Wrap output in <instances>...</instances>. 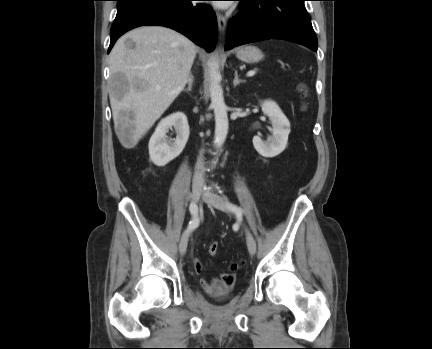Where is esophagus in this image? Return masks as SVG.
<instances>
[{
	"label": "esophagus",
	"mask_w": 432,
	"mask_h": 349,
	"mask_svg": "<svg viewBox=\"0 0 432 349\" xmlns=\"http://www.w3.org/2000/svg\"><path fill=\"white\" fill-rule=\"evenodd\" d=\"M216 16H217L219 32L221 34H224L225 29H226L227 19L222 13H220L218 11L216 12Z\"/></svg>",
	"instance_id": "esophagus-1"
}]
</instances>
